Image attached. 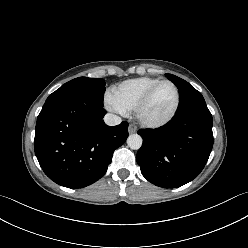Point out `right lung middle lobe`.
I'll use <instances>...</instances> for the list:
<instances>
[{
	"label": "right lung middle lobe",
	"instance_id": "1",
	"mask_svg": "<svg viewBox=\"0 0 248 248\" xmlns=\"http://www.w3.org/2000/svg\"><path fill=\"white\" fill-rule=\"evenodd\" d=\"M105 82L102 78H75L53 92L46 101L62 97H79L90 100L97 105H103Z\"/></svg>",
	"mask_w": 248,
	"mask_h": 248
}]
</instances>
